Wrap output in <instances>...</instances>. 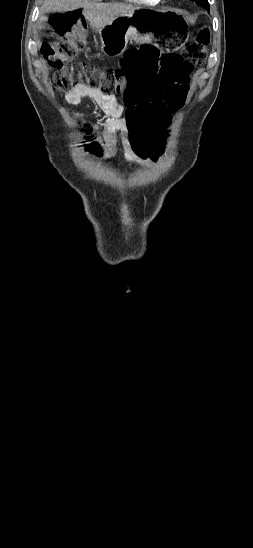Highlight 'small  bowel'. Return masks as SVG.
<instances>
[{
    "label": "small bowel",
    "instance_id": "c3829d8e",
    "mask_svg": "<svg viewBox=\"0 0 253 548\" xmlns=\"http://www.w3.org/2000/svg\"><path fill=\"white\" fill-rule=\"evenodd\" d=\"M152 60L164 59L157 56ZM65 98L71 105L78 104L84 98H89L98 109L107 115V119L103 124L100 143L96 142L99 147L98 155L102 156L104 159L112 158L116 153V135L117 133H120L124 144V157L126 160L140 165H150L156 160L157 157L153 159H138L135 156L136 150L133 148V143L129 140L131 132L126 123L127 105L123 106L120 104L114 94H104L99 90L92 89L85 84L79 83L66 94ZM162 129L164 130L165 128Z\"/></svg>",
    "mask_w": 253,
    "mask_h": 548
}]
</instances>
